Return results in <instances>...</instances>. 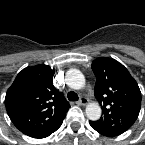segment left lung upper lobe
Instances as JSON below:
<instances>
[{
    "mask_svg": "<svg viewBox=\"0 0 145 145\" xmlns=\"http://www.w3.org/2000/svg\"><path fill=\"white\" fill-rule=\"evenodd\" d=\"M96 76L95 97L102 106V116L90 124L108 136L126 132L136 121L141 108V92L129 71L112 58L92 62Z\"/></svg>",
    "mask_w": 145,
    "mask_h": 145,
    "instance_id": "5c2ea615",
    "label": "left lung upper lobe"
}]
</instances>
